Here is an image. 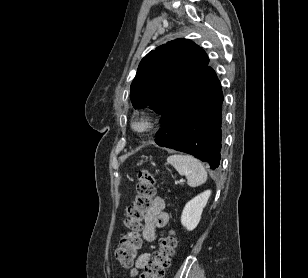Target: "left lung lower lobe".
<instances>
[{
    "instance_id": "left-lung-lower-lobe-1",
    "label": "left lung lower lobe",
    "mask_w": 308,
    "mask_h": 278,
    "mask_svg": "<svg viewBox=\"0 0 308 278\" xmlns=\"http://www.w3.org/2000/svg\"><path fill=\"white\" fill-rule=\"evenodd\" d=\"M220 82L207 67L177 94L161 114L156 143L191 154L215 169L220 164L222 101Z\"/></svg>"
}]
</instances>
